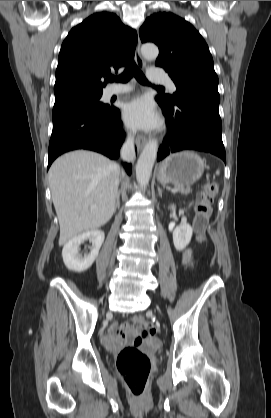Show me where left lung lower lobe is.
<instances>
[{"mask_svg":"<svg viewBox=\"0 0 271 418\" xmlns=\"http://www.w3.org/2000/svg\"><path fill=\"white\" fill-rule=\"evenodd\" d=\"M157 101L170 128L159 148L157 161L174 152L197 150L212 153L226 163L219 104L190 96H183L173 108Z\"/></svg>","mask_w":271,"mask_h":418,"instance_id":"obj_1","label":"left lung lower lobe"}]
</instances>
